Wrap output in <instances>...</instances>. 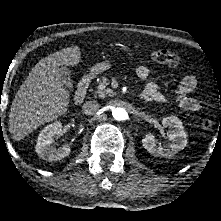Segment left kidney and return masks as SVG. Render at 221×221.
Instances as JSON below:
<instances>
[{
	"label": "left kidney",
	"mask_w": 221,
	"mask_h": 221,
	"mask_svg": "<svg viewBox=\"0 0 221 221\" xmlns=\"http://www.w3.org/2000/svg\"><path fill=\"white\" fill-rule=\"evenodd\" d=\"M162 125L163 127L169 128L167 137L170 143L165 147L157 145L155 136L149 133L142 139V145L151 155L155 157L170 158L185 148L187 144V134L181 120L178 117H164L162 119Z\"/></svg>",
	"instance_id": "1"
}]
</instances>
